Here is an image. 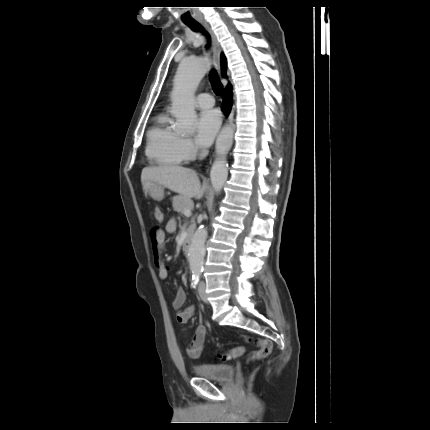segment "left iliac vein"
<instances>
[{
	"label": "left iliac vein",
	"instance_id": "4c4485c4",
	"mask_svg": "<svg viewBox=\"0 0 430 430\" xmlns=\"http://www.w3.org/2000/svg\"><path fill=\"white\" fill-rule=\"evenodd\" d=\"M198 293L200 298L207 303L206 285L204 281H201L198 287Z\"/></svg>",
	"mask_w": 430,
	"mask_h": 430
}]
</instances>
